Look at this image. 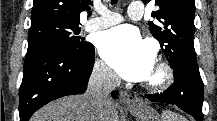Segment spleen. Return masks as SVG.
<instances>
[{
	"instance_id": "1",
	"label": "spleen",
	"mask_w": 217,
	"mask_h": 121,
	"mask_svg": "<svg viewBox=\"0 0 217 121\" xmlns=\"http://www.w3.org/2000/svg\"><path fill=\"white\" fill-rule=\"evenodd\" d=\"M163 121H186V119L176 113L166 111L162 115Z\"/></svg>"
}]
</instances>
